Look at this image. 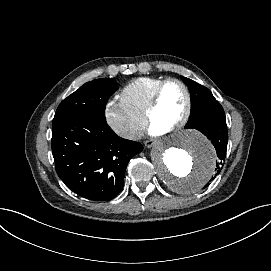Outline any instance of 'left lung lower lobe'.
Instances as JSON below:
<instances>
[{
	"label": "left lung lower lobe",
	"instance_id": "0a47b994",
	"mask_svg": "<svg viewBox=\"0 0 271 271\" xmlns=\"http://www.w3.org/2000/svg\"><path fill=\"white\" fill-rule=\"evenodd\" d=\"M196 129L206 135L207 138L212 141L216 149V173L214 177L210 179V181H212L221 172L226 158L228 132L223 108L221 107L207 113ZM208 185L209 183H207L205 187Z\"/></svg>",
	"mask_w": 271,
	"mask_h": 271
}]
</instances>
